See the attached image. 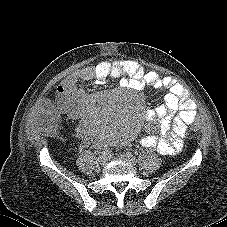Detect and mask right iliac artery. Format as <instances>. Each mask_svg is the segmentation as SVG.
Wrapping results in <instances>:
<instances>
[{
	"label": "right iliac artery",
	"mask_w": 227,
	"mask_h": 227,
	"mask_svg": "<svg viewBox=\"0 0 227 227\" xmlns=\"http://www.w3.org/2000/svg\"><path fill=\"white\" fill-rule=\"evenodd\" d=\"M110 153H111V150L106 148L105 150L102 151L101 154H102L103 156H105V155H109Z\"/></svg>",
	"instance_id": "obj_1"
}]
</instances>
